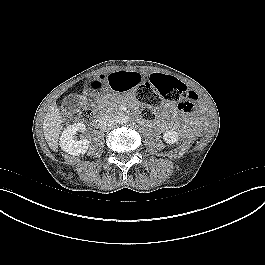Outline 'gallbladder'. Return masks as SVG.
Instances as JSON below:
<instances>
[{
    "instance_id": "bac80fb5",
    "label": "gallbladder",
    "mask_w": 265,
    "mask_h": 265,
    "mask_svg": "<svg viewBox=\"0 0 265 265\" xmlns=\"http://www.w3.org/2000/svg\"><path fill=\"white\" fill-rule=\"evenodd\" d=\"M63 104L72 111L78 107V98L71 94L64 99Z\"/></svg>"
}]
</instances>
